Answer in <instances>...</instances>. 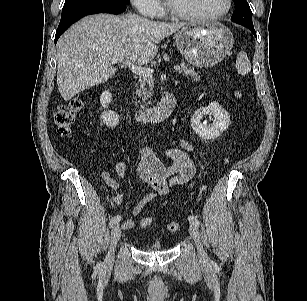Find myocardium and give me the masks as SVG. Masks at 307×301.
<instances>
[{"instance_id":"1","label":"myocardium","mask_w":307,"mask_h":301,"mask_svg":"<svg viewBox=\"0 0 307 301\" xmlns=\"http://www.w3.org/2000/svg\"><path fill=\"white\" fill-rule=\"evenodd\" d=\"M233 6V0H227L225 8L217 13L214 14H192V13H187L184 12L174 6H172L168 1L166 2V10L168 14H170L173 17L182 19V20H187V21H212V20H217L225 15H227L230 10L232 9Z\"/></svg>"}]
</instances>
